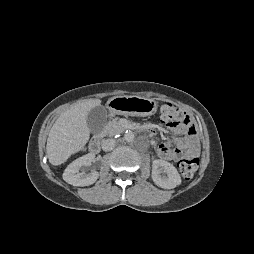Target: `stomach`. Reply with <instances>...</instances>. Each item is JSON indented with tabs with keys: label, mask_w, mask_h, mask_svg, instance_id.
<instances>
[{
	"label": "stomach",
	"mask_w": 254,
	"mask_h": 254,
	"mask_svg": "<svg viewBox=\"0 0 254 254\" xmlns=\"http://www.w3.org/2000/svg\"><path fill=\"white\" fill-rule=\"evenodd\" d=\"M157 102L138 96H116L108 100L111 115L150 116L157 111Z\"/></svg>",
	"instance_id": "obj_1"
}]
</instances>
